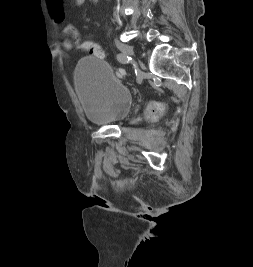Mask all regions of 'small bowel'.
<instances>
[{
  "instance_id": "small-bowel-1",
  "label": "small bowel",
  "mask_w": 253,
  "mask_h": 267,
  "mask_svg": "<svg viewBox=\"0 0 253 267\" xmlns=\"http://www.w3.org/2000/svg\"><path fill=\"white\" fill-rule=\"evenodd\" d=\"M49 13L52 19L58 24H64L66 21V14L63 7V0H46ZM76 6H82L87 0H73ZM73 33H78V31L73 26H66L65 33L61 37V45L66 50L73 49V46L68 38L69 35Z\"/></svg>"
}]
</instances>
